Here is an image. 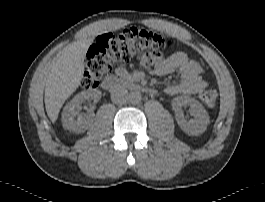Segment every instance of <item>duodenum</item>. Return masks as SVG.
<instances>
[{"label": "duodenum", "instance_id": "410a0bca", "mask_svg": "<svg viewBox=\"0 0 265 202\" xmlns=\"http://www.w3.org/2000/svg\"><path fill=\"white\" fill-rule=\"evenodd\" d=\"M101 86L110 92H115L118 88L123 86H130L134 90L142 91L146 94H153V90L148 86H143L139 83L130 82L115 76L104 77L101 81Z\"/></svg>", "mask_w": 265, "mask_h": 202}]
</instances>
